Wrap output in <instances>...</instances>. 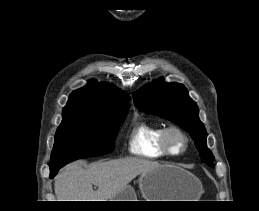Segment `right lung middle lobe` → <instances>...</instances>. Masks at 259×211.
Returning <instances> with one entry per match:
<instances>
[{"label": "right lung middle lobe", "mask_w": 259, "mask_h": 211, "mask_svg": "<svg viewBox=\"0 0 259 211\" xmlns=\"http://www.w3.org/2000/svg\"><path fill=\"white\" fill-rule=\"evenodd\" d=\"M126 113L94 114L72 112L63 115L56 131L50 170L88 156L114 150V140Z\"/></svg>", "instance_id": "dd1d6c3e"}]
</instances>
